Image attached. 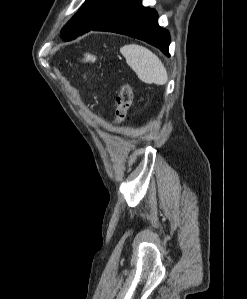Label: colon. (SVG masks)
Returning <instances> with one entry per match:
<instances>
[{
    "mask_svg": "<svg viewBox=\"0 0 247 299\" xmlns=\"http://www.w3.org/2000/svg\"><path fill=\"white\" fill-rule=\"evenodd\" d=\"M133 101V91L129 84H124L116 97L114 122L121 124L128 118V112Z\"/></svg>",
    "mask_w": 247,
    "mask_h": 299,
    "instance_id": "obj_1",
    "label": "colon"
}]
</instances>
